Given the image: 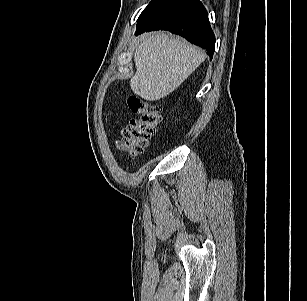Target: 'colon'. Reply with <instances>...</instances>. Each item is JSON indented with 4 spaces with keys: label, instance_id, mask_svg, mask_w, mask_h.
<instances>
[{
    "label": "colon",
    "instance_id": "5ec220e1",
    "mask_svg": "<svg viewBox=\"0 0 307 301\" xmlns=\"http://www.w3.org/2000/svg\"><path fill=\"white\" fill-rule=\"evenodd\" d=\"M128 106L137 117L130 120L118 141L120 149L131 156L141 154L149 144L161 120L160 106L154 102L131 98Z\"/></svg>",
    "mask_w": 307,
    "mask_h": 301
}]
</instances>
